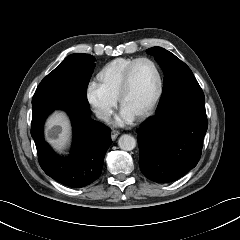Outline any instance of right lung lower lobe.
<instances>
[{
  "label": "right lung lower lobe",
  "mask_w": 240,
  "mask_h": 240,
  "mask_svg": "<svg viewBox=\"0 0 240 240\" xmlns=\"http://www.w3.org/2000/svg\"><path fill=\"white\" fill-rule=\"evenodd\" d=\"M32 107L31 135L44 172L57 182L72 188L85 187L98 179L105 153L112 142L110 129L91 119V111L86 106L44 101ZM55 109L65 110L73 126V146L67 158L58 156L44 139V121Z\"/></svg>",
  "instance_id": "obj_1"
}]
</instances>
